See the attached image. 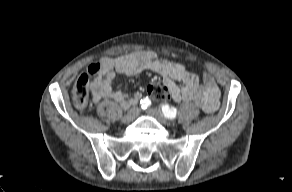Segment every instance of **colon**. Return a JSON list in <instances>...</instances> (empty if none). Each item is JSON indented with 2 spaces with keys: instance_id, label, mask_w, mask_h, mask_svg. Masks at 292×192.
Listing matches in <instances>:
<instances>
[{
  "instance_id": "5ec220e1",
  "label": "colon",
  "mask_w": 292,
  "mask_h": 192,
  "mask_svg": "<svg viewBox=\"0 0 292 192\" xmlns=\"http://www.w3.org/2000/svg\"><path fill=\"white\" fill-rule=\"evenodd\" d=\"M103 63H92L87 71L81 74L76 80L72 89V99L77 109H84L88 104L89 98V80L92 76L99 74L102 71ZM147 93L153 99L158 101L167 100L170 98V93L167 88L159 85H150L147 87Z\"/></svg>"
}]
</instances>
